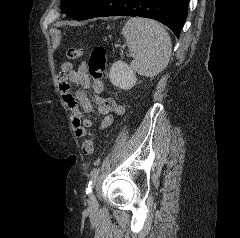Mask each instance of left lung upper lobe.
<instances>
[{
    "mask_svg": "<svg viewBox=\"0 0 240 238\" xmlns=\"http://www.w3.org/2000/svg\"><path fill=\"white\" fill-rule=\"evenodd\" d=\"M91 0H61L62 13L66 14L67 18H75L89 4Z\"/></svg>",
    "mask_w": 240,
    "mask_h": 238,
    "instance_id": "obj_1",
    "label": "left lung upper lobe"
}]
</instances>
